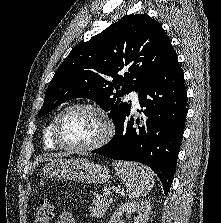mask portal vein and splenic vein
Listing matches in <instances>:
<instances>
[{
	"label": "portal vein and splenic vein",
	"instance_id": "18ae733b",
	"mask_svg": "<svg viewBox=\"0 0 221 223\" xmlns=\"http://www.w3.org/2000/svg\"><path fill=\"white\" fill-rule=\"evenodd\" d=\"M117 190L119 191L118 188H116V191H117ZM106 193H110V194H111V193H112V190H111V189L105 190L104 194H106Z\"/></svg>",
	"mask_w": 221,
	"mask_h": 223
}]
</instances>
